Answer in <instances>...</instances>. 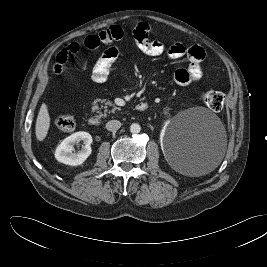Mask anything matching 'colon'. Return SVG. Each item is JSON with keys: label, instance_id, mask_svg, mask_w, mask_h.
Segmentation results:
<instances>
[{"label": "colon", "instance_id": "colon-1", "mask_svg": "<svg viewBox=\"0 0 267 267\" xmlns=\"http://www.w3.org/2000/svg\"><path fill=\"white\" fill-rule=\"evenodd\" d=\"M203 103L213 111H220L224 105V94L220 91L208 90L201 95ZM59 130L70 132L75 128V120L72 116H61L56 119Z\"/></svg>", "mask_w": 267, "mask_h": 267}]
</instances>
